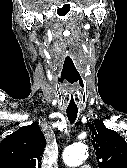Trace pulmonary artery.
Masks as SVG:
<instances>
[{"mask_svg": "<svg viewBox=\"0 0 127 168\" xmlns=\"http://www.w3.org/2000/svg\"><path fill=\"white\" fill-rule=\"evenodd\" d=\"M79 168H91L89 165H81Z\"/></svg>", "mask_w": 127, "mask_h": 168, "instance_id": "pulmonary-artery-1", "label": "pulmonary artery"}]
</instances>
